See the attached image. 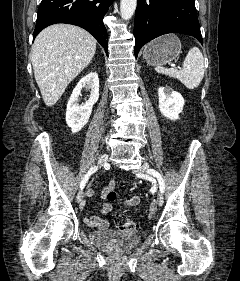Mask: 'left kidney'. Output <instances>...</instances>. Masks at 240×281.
<instances>
[{
    "label": "left kidney",
    "mask_w": 240,
    "mask_h": 281,
    "mask_svg": "<svg viewBox=\"0 0 240 281\" xmlns=\"http://www.w3.org/2000/svg\"><path fill=\"white\" fill-rule=\"evenodd\" d=\"M158 97L161 114L170 120L178 119L185 104L182 95L173 91L170 87H160L158 89Z\"/></svg>",
    "instance_id": "5707ae66"
}]
</instances>
